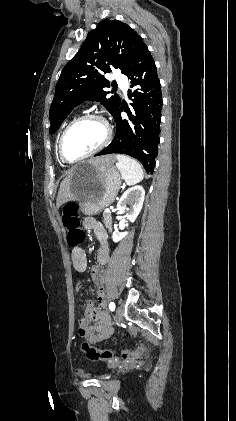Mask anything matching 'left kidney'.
Instances as JSON below:
<instances>
[{
	"mask_svg": "<svg viewBox=\"0 0 236 421\" xmlns=\"http://www.w3.org/2000/svg\"><path fill=\"white\" fill-rule=\"evenodd\" d=\"M144 198L145 190L143 186H140V184H137V186H131V188H127V190L123 192L121 198H119L117 202L118 211H120V213H126L128 221L134 223L141 211ZM127 204H129V206H127ZM126 235H128L127 231H125V233L114 231L112 239L114 243H118V241H122Z\"/></svg>",
	"mask_w": 236,
	"mask_h": 421,
	"instance_id": "obj_1",
	"label": "left kidney"
}]
</instances>
